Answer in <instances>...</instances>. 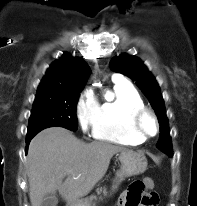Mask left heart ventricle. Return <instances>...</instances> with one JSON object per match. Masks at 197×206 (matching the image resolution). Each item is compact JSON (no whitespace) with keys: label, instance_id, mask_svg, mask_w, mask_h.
<instances>
[{"label":"left heart ventricle","instance_id":"b2bd125f","mask_svg":"<svg viewBox=\"0 0 197 206\" xmlns=\"http://www.w3.org/2000/svg\"><path fill=\"white\" fill-rule=\"evenodd\" d=\"M143 127H144V130L147 133H153L154 132V124H153V122L150 118L145 119V121L143 123Z\"/></svg>","mask_w":197,"mask_h":206}]
</instances>
